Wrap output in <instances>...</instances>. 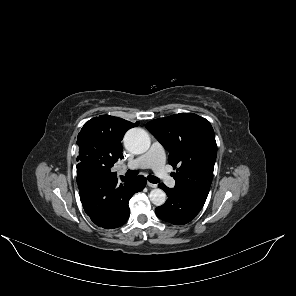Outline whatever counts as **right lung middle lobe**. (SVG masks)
<instances>
[{
    "label": "right lung middle lobe",
    "instance_id": "obj_1",
    "mask_svg": "<svg viewBox=\"0 0 296 296\" xmlns=\"http://www.w3.org/2000/svg\"><path fill=\"white\" fill-rule=\"evenodd\" d=\"M77 161L86 164L97 175L106 177V161L101 152L93 148H85L79 151Z\"/></svg>",
    "mask_w": 296,
    "mask_h": 296
}]
</instances>
